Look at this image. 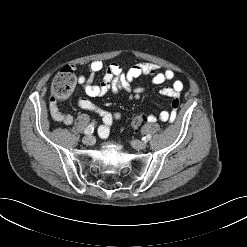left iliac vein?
I'll use <instances>...</instances> for the list:
<instances>
[{"instance_id": "4c4485c4", "label": "left iliac vein", "mask_w": 247, "mask_h": 247, "mask_svg": "<svg viewBox=\"0 0 247 247\" xmlns=\"http://www.w3.org/2000/svg\"><path fill=\"white\" fill-rule=\"evenodd\" d=\"M131 145L137 149V150H143L146 148L147 144L145 142L142 141H138V140H134L131 142Z\"/></svg>"}]
</instances>
